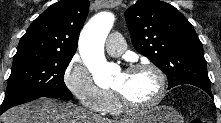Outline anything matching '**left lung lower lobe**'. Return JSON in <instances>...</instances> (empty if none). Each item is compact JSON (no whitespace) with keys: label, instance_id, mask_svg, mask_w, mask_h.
I'll use <instances>...</instances> for the list:
<instances>
[{"label":"left lung lower lobe","instance_id":"obj_1","mask_svg":"<svg viewBox=\"0 0 221 123\" xmlns=\"http://www.w3.org/2000/svg\"><path fill=\"white\" fill-rule=\"evenodd\" d=\"M189 84L197 86V87L203 89L205 92H207L213 98L212 92L210 90V86L199 84V83H189Z\"/></svg>","mask_w":221,"mask_h":123}]
</instances>
